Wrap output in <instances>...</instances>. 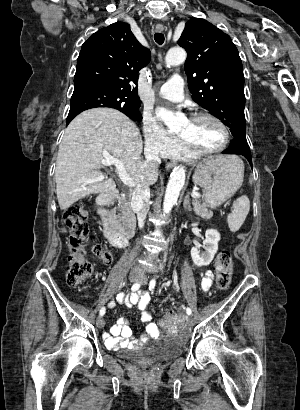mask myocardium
<instances>
[{
    "label": "myocardium",
    "instance_id": "f54148a6",
    "mask_svg": "<svg viewBox=\"0 0 300 410\" xmlns=\"http://www.w3.org/2000/svg\"><path fill=\"white\" fill-rule=\"evenodd\" d=\"M202 119H208V120L214 121L215 123H217L221 127V129L223 130V133H224L223 143L218 148H215V149H212V150H200L199 148L194 146L189 140H187V139L180 136V139H181L184 147L193 156H196V157L209 156V155L220 153L223 150H225L226 147L228 146L229 142H230V130H229V127L227 126V124L222 119H220L219 117H217L213 114H210V113H206V112L195 113L190 118L191 121H198V120H202Z\"/></svg>",
    "mask_w": 300,
    "mask_h": 410
}]
</instances>
